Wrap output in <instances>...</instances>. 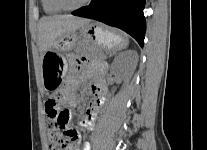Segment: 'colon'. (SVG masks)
Wrapping results in <instances>:
<instances>
[{"mask_svg":"<svg viewBox=\"0 0 207 150\" xmlns=\"http://www.w3.org/2000/svg\"><path fill=\"white\" fill-rule=\"evenodd\" d=\"M45 109L49 119L46 134L50 150H74L73 139L76 133L67 129L69 111L60 106L57 97L48 99Z\"/></svg>","mask_w":207,"mask_h":150,"instance_id":"1","label":"colon"}]
</instances>
